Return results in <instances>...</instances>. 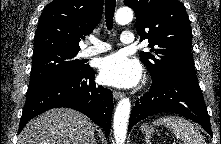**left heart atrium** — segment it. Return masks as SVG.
<instances>
[{"label":"left heart atrium","mask_w":221,"mask_h":144,"mask_svg":"<svg viewBox=\"0 0 221 144\" xmlns=\"http://www.w3.org/2000/svg\"><path fill=\"white\" fill-rule=\"evenodd\" d=\"M141 77L139 64L123 53L111 54L100 63L99 78L103 84L128 88L135 86Z\"/></svg>","instance_id":"obj_1"}]
</instances>
